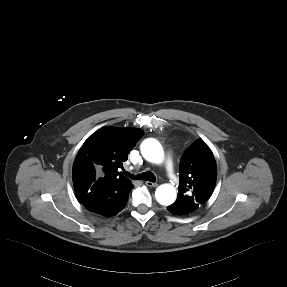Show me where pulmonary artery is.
Masks as SVG:
<instances>
[{"mask_svg": "<svg viewBox=\"0 0 287 287\" xmlns=\"http://www.w3.org/2000/svg\"><path fill=\"white\" fill-rule=\"evenodd\" d=\"M164 169L167 172L168 176L173 180L174 184H177V177L174 172L173 160L171 156H169L164 162Z\"/></svg>", "mask_w": 287, "mask_h": 287, "instance_id": "obj_1", "label": "pulmonary artery"}]
</instances>
